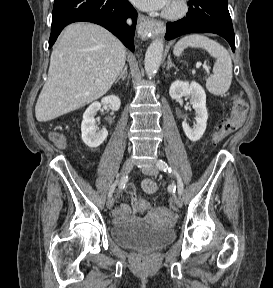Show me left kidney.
Returning a JSON list of instances; mask_svg holds the SVG:
<instances>
[{"mask_svg": "<svg viewBox=\"0 0 273 288\" xmlns=\"http://www.w3.org/2000/svg\"><path fill=\"white\" fill-rule=\"evenodd\" d=\"M169 94L172 99H180L188 95L190 102L195 110L196 123L191 128L186 121L182 122V128L189 140L192 142L198 141L204 134L207 126L208 113L206 109V94L200 84L195 81L189 83L188 81L176 80L169 89Z\"/></svg>", "mask_w": 273, "mask_h": 288, "instance_id": "1", "label": "left kidney"}]
</instances>
